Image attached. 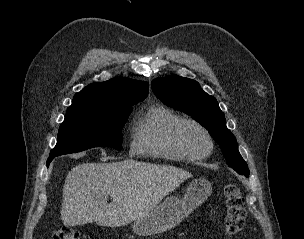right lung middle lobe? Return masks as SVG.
Instances as JSON below:
<instances>
[{
    "instance_id": "right-lung-middle-lobe-1",
    "label": "right lung middle lobe",
    "mask_w": 304,
    "mask_h": 239,
    "mask_svg": "<svg viewBox=\"0 0 304 239\" xmlns=\"http://www.w3.org/2000/svg\"><path fill=\"white\" fill-rule=\"evenodd\" d=\"M131 105L114 111L67 113L58 132L57 144L50 156L108 146L122 149L121 130L131 112Z\"/></svg>"
}]
</instances>
